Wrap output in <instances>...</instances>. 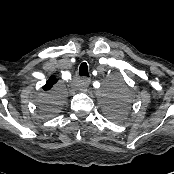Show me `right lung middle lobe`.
I'll return each instance as SVG.
<instances>
[{"label":"right lung middle lobe","instance_id":"obj_1","mask_svg":"<svg viewBox=\"0 0 174 174\" xmlns=\"http://www.w3.org/2000/svg\"><path fill=\"white\" fill-rule=\"evenodd\" d=\"M63 98L60 94L51 92L39 101V109L44 115H50L60 110Z\"/></svg>","mask_w":174,"mask_h":174}]
</instances>
